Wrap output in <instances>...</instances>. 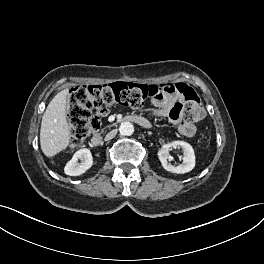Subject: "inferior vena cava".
<instances>
[{"label": "inferior vena cava", "instance_id": "obj_1", "mask_svg": "<svg viewBox=\"0 0 264 264\" xmlns=\"http://www.w3.org/2000/svg\"><path fill=\"white\" fill-rule=\"evenodd\" d=\"M117 134V130H112L110 131L106 136H105V141H109L113 139Z\"/></svg>", "mask_w": 264, "mask_h": 264}]
</instances>
